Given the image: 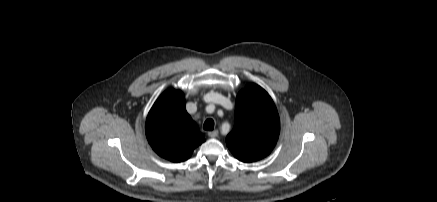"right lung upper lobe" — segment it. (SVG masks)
Instances as JSON below:
<instances>
[{"mask_svg":"<svg viewBox=\"0 0 437 202\" xmlns=\"http://www.w3.org/2000/svg\"><path fill=\"white\" fill-rule=\"evenodd\" d=\"M185 104L180 90L169 89L156 100L146 119L149 144L159 156L171 162L187 160L205 141Z\"/></svg>","mask_w":437,"mask_h":202,"instance_id":"obj_1","label":"right lung upper lobe"}]
</instances>
